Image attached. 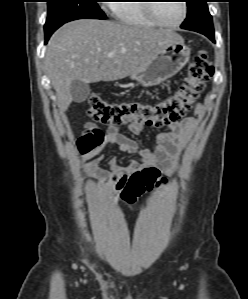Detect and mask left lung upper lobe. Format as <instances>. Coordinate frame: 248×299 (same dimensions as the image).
I'll return each instance as SVG.
<instances>
[{
    "label": "left lung upper lobe",
    "mask_w": 248,
    "mask_h": 299,
    "mask_svg": "<svg viewBox=\"0 0 248 299\" xmlns=\"http://www.w3.org/2000/svg\"><path fill=\"white\" fill-rule=\"evenodd\" d=\"M188 14L181 28L200 32L208 30L214 32L212 16L207 7V0H186Z\"/></svg>",
    "instance_id": "1"
}]
</instances>
